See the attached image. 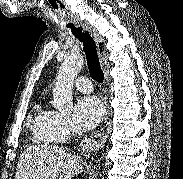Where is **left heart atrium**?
<instances>
[{"label": "left heart atrium", "instance_id": "left-heart-atrium-1", "mask_svg": "<svg viewBox=\"0 0 183 179\" xmlns=\"http://www.w3.org/2000/svg\"><path fill=\"white\" fill-rule=\"evenodd\" d=\"M104 108L93 96L80 98L74 106V120L83 130L93 129L103 118Z\"/></svg>", "mask_w": 183, "mask_h": 179}]
</instances>
